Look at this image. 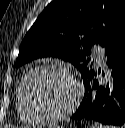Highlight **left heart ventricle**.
<instances>
[{
    "mask_svg": "<svg viewBox=\"0 0 125 128\" xmlns=\"http://www.w3.org/2000/svg\"><path fill=\"white\" fill-rule=\"evenodd\" d=\"M75 89L72 82L57 72H41L28 87L31 105L39 112L58 113L70 105Z\"/></svg>",
    "mask_w": 125,
    "mask_h": 128,
    "instance_id": "left-heart-ventricle-1",
    "label": "left heart ventricle"
}]
</instances>
